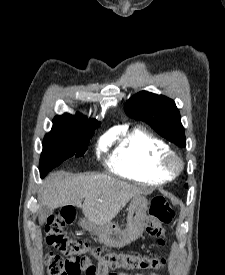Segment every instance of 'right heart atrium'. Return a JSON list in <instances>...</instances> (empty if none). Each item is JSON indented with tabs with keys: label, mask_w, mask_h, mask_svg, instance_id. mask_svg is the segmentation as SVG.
Wrapping results in <instances>:
<instances>
[{
	"label": "right heart atrium",
	"mask_w": 225,
	"mask_h": 275,
	"mask_svg": "<svg viewBox=\"0 0 225 275\" xmlns=\"http://www.w3.org/2000/svg\"><path fill=\"white\" fill-rule=\"evenodd\" d=\"M110 139H109V137H105V138H103L101 141H100V143H99V146H98V150L99 151H105V150H107V148H108V146H109V144H110Z\"/></svg>",
	"instance_id": "right-heart-atrium-1"
}]
</instances>
